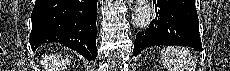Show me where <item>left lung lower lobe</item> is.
<instances>
[{"label": "left lung lower lobe", "instance_id": "0a47b994", "mask_svg": "<svg viewBox=\"0 0 230 71\" xmlns=\"http://www.w3.org/2000/svg\"><path fill=\"white\" fill-rule=\"evenodd\" d=\"M155 19L137 33L133 54L160 45L194 47L202 51L195 0H153Z\"/></svg>", "mask_w": 230, "mask_h": 71}]
</instances>
